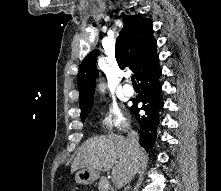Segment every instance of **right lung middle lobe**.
Here are the masks:
<instances>
[{
  "mask_svg": "<svg viewBox=\"0 0 221 191\" xmlns=\"http://www.w3.org/2000/svg\"><path fill=\"white\" fill-rule=\"evenodd\" d=\"M89 112H90V110L85 112V113H81V120H82V122H84L86 114H88Z\"/></svg>",
  "mask_w": 221,
  "mask_h": 191,
  "instance_id": "obj_1",
  "label": "right lung middle lobe"
}]
</instances>
